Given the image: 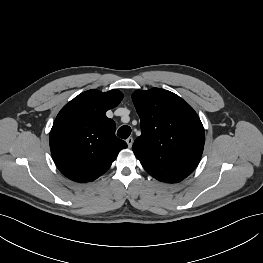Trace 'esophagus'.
Here are the masks:
<instances>
[{"mask_svg":"<svg viewBox=\"0 0 263 263\" xmlns=\"http://www.w3.org/2000/svg\"><path fill=\"white\" fill-rule=\"evenodd\" d=\"M133 142H134V140H133L132 137H129V138L126 140V143H127V145H128V148H131V147H132Z\"/></svg>","mask_w":263,"mask_h":263,"instance_id":"obj_1","label":"esophagus"}]
</instances>
